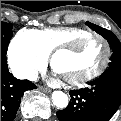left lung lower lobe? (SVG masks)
<instances>
[{
  "label": "left lung lower lobe",
  "mask_w": 121,
  "mask_h": 121,
  "mask_svg": "<svg viewBox=\"0 0 121 121\" xmlns=\"http://www.w3.org/2000/svg\"><path fill=\"white\" fill-rule=\"evenodd\" d=\"M69 93L70 103L57 112L60 121H109L121 104V76L105 73Z\"/></svg>",
  "instance_id": "1"
}]
</instances>
